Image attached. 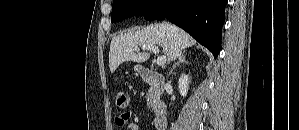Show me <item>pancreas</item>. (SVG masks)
<instances>
[{
    "label": "pancreas",
    "mask_w": 299,
    "mask_h": 130,
    "mask_svg": "<svg viewBox=\"0 0 299 130\" xmlns=\"http://www.w3.org/2000/svg\"><path fill=\"white\" fill-rule=\"evenodd\" d=\"M154 91L152 89H150L146 95V101H147V106L150 107H154Z\"/></svg>",
    "instance_id": "1"
}]
</instances>
